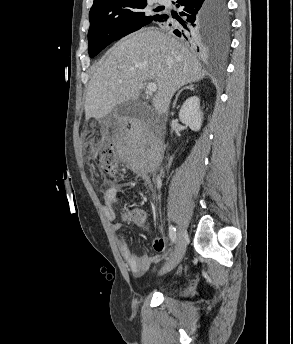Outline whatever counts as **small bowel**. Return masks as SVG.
Segmentation results:
<instances>
[{
  "instance_id": "c3829d8e",
  "label": "small bowel",
  "mask_w": 293,
  "mask_h": 344,
  "mask_svg": "<svg viewBox=\"0 0 293 344\" xmlns=\"http://www.w3.org/2000/svg\"><path fill=\"white\" fill-rule=\"evenodd\" d=\"M119 192L120 185L118 184H112L106 190L104 194V214L107 221L111 224V230L115 236L116 244L125 263L129 267L133 276L141 277L147 272L151 265H158L162 261L163 256L160 254H143L140 256L135 255L123 237L118 233L122 227V224L116 219L114 205L118 200ZM153 246L157 252L163 253L166 251L167 241L164 237H156L153 241Z\"/></svg>"
}]
</instances>
